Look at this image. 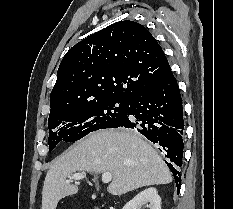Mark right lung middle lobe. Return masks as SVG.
Segmentation results:
<instances>
[{
  "mask_svg": "<svg viewBox=\"0 0 233 209\" xmlns=\"http://www.w3.org/2000/svg\"><path fill=\"white\" fill-rule=\"evenodd\" d=\"M129 100L108 98L50 113L49 151L60 141L74 142L98 129L109 128L126 115Z\"/></svg>",
  "mask_w": 233,
  "mask_h": 209,
  "instance_id": "dd1d6c3e",
  "label": "right lung middle lobe"
}]
</instances>
